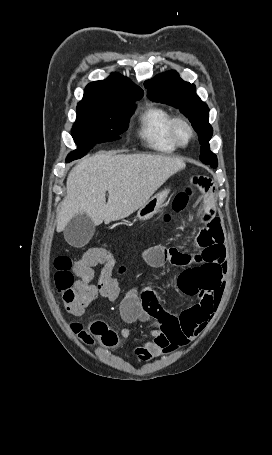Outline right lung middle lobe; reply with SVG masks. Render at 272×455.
Returning a JSON list of instances; mask_svg holds the SVG:
<instances>
[{
	"instance_id": "obj_1",
	"label": "right lung middle lobe",
	"mask_w": 272,
	"mask_h": 455,
	"mask_svg": "<svg viewBox=\"0 0 272 455\" xmlns=\"http://www.w3.org/2000/svg\"><path fill=\"white\" fill-rule=\"evenodd\" d=\"M135 101L115 109L77 108L76 122L72 136L77 149L67 156L66 161L83 157L97 143L120 139L128 128V121L134 112Z\"/></svg>"
}]
</instances>
